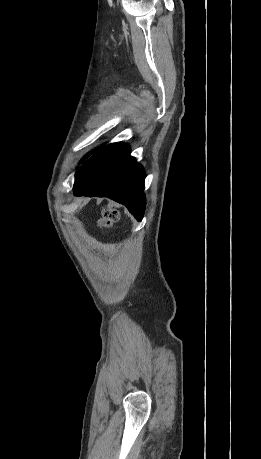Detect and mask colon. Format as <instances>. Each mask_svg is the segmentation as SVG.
Listing matches in <instances>:
<instances>
[{"label": "colon", "instance_id": "colon-1", "mask_svg": "<svg viewBox=\"0 0 261 459\" xmlns=\"http://www.w3.org/2000/svg\"><path fill=\"white\" fill-rule=\"evenodd\" d=\"M118 219V211L113 208H106L103 210L102 217L100 219V226L103 228L111 227L114 222Z\"/></svg>", "mask_w": 261, "mask_h": 459}]
</instances>
